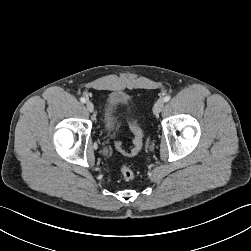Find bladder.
<instances>
[{
	"instance_id": "bladder-1",
	"label": "bladder",
	"mask_w": 251,
	"mask_h": 251,
	"mask_svg": "<svg viewBox=\"0 0 251 251\" xmlns=\"http://www.w3.org/2000/svg\"><path fill=\"white\" fill-rule=\"evenodd\" d=\"M130 98L121 91L111 92L105 99L103 107V131L109 135L120 128L119 115L123 109H131Z\"/></svg>"
}]
</instances>
